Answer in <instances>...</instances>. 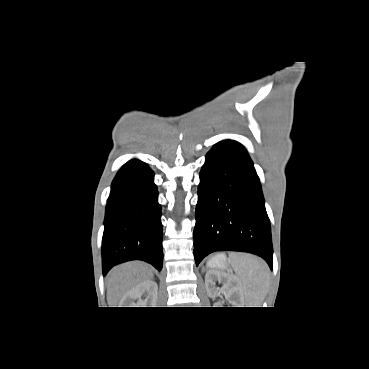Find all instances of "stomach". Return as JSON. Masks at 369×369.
Here are the masks:
<instances>
[{
	"mask_svg": "<svg viewBox=\"0 0 369 369\" xmlns=\"http://www.w3.org/2000/svg\"><path fill=\"white\" fill-rule=\"evenodd\" d=\"M209 262V264L207 263L209 267L220 269L226 268V258L223 254L213 257Z\"/></svg>",
	"mask_w": 369,
	"mask_h": 369,
	"instance_id": "0dacf381",
	"label": "stomach"
}]
</instances>
